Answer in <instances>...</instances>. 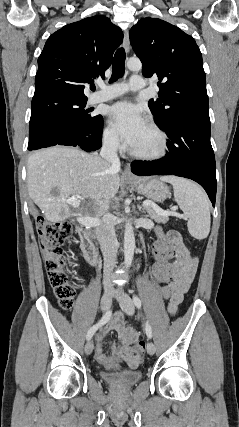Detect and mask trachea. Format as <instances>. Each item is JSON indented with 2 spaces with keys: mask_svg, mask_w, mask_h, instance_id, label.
Returning <instances> with one entry per match:
<instances>
[{
  "mask_svg": "<svg viewBox=\"0 0 239 427\" xmlns=\"http://www.w3.org/2000/svg\"><path fill=\"white\" fill-rule=\"evenodd\" d=\"M125 50L123 48H119L115 55L112 65V76L110 82L117 80L118 78L123 77L125 72Z\"/></svg>",
  "mask_w": 239,
  "mask_h": 427,
  "instance_id": "obj_1",
  "label": "trachea"
}]
</instances>
